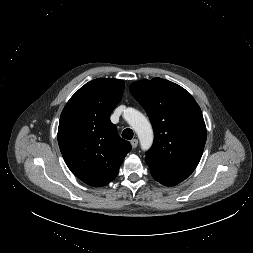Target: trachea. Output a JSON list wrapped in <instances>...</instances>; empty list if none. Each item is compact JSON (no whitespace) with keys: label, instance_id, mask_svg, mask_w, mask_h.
Returning a JSON list of instances; mask_svg holds the SVG:
<instances>
[{"label":"trachea","instance_id":"obj_1","mask_svg":"<svg viewBox=\"0 0 253 253\" xmlns=\"http://www.w3.org/2000/svg\"><path fill=\"white\" fill-rule=\"evenodd\" d=\"M122 137L127 140H131L133 138V131L130 128L125 129L122 132Z\"/></svg>","mask_w":253,"mask_h":253}]
</instances>
